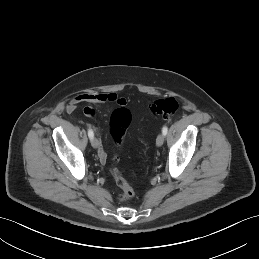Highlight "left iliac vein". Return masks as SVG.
I'll list each match as a JSON object with an SVG mask.
<instances>
[{"instance_id":"obj_1","label":"left iliac vein","mask_w":259,"mask_h":259,"mask_svg":"<svg viewBox=\"0 0 259 259\" xmlns=\"http://www.w3.org/2000/svg\"><path fill=\"white\" fill-rule=\"evenodd\" d=\"M164 143V135L163 134H159L156 138V145L158 147L162 146Z\"/></svg>"}]
</instances>
